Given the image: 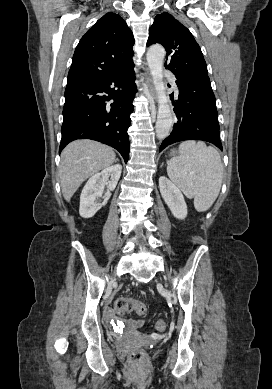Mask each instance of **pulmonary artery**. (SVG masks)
<instances>
[{"instance_id":"obj_1","label":"pulmonary artery","mask_w":272,"mask_h":389,"mask_svg":"<svg viewBox=\"0 0 272 389\" xmlns=\"http://www.w3.org/2000/svg\"><path fill=\"white\" fill-rule=\"evenodd\" d=\"M165 75L168 77V79H169L170 82L172 83L173 87H174L175 89H177L174 74H173L172 72L166 70V71H165Z\"/></svg>"}]
</instances>
